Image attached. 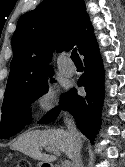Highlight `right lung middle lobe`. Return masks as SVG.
<instances>
[{"instance_id":"1","label":"right lung middle lobe","mask_w":125,"mask_h":167,"mask_svg":"<svg viewBox=\"0 0 125 167\" xmlns=\"http://www.w3.org/2000/svg\"><path fill=\"white\" fill-rule=\"evenodd\" d=\"M48 89V81L26 93L3 101L0 138L6 139L31 121L30 105Z\"/></svg>"}]
</instances>
